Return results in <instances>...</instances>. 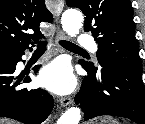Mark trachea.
<instances>
[{"label":"trachea","mask_w":145,"mask_h":124,"mask_svg":"<svg viewBox=\"0 0 145 124\" xmlns=\"http://www.w3.org/2000/svg\"><path fill=\"white\" fill-rule=\"evenodd\" d=\"M60 44L66 49H73V50H83L81 47L77 46L76 44L69 42V41H60ZM46 50V42H40L37 45L36 51H45Z\"/></svg>","instance_id":"1"}]
</instances>
